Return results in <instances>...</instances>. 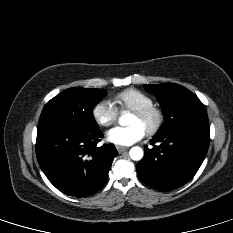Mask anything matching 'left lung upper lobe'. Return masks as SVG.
<instances>
[{
  "label": "left lung upper lobe",
  "instance_id": "left-lung-upper-lobe-1",
  "mask_svg": "<svg viewBox=\"0 0 233 233\" xmlns=\"http://www.w3.org/2000/svg\"><path fill=\"white\" fill-rule=\"evenodd\" d=\"M145 88L156 96L165 119L156 136L192 125H209L205 105L187 88L174 83L145 85Z\"/></svg>",
  "mask_w": 233,
  "mask_h": 233
}]
</instances>
